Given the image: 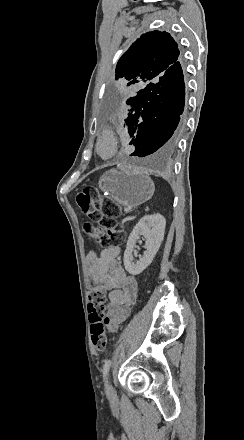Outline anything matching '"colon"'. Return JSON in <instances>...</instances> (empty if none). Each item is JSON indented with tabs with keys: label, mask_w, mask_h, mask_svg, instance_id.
<instances>
[{
	"label": "colon",
	"mask_w": 244,
	"mask_h": 440,
	"mask_svg": "<svg viewBox=\"0 0 244 440\" xmlns=\"http://www.w3.org/2000/svg\"><path fill=\"white\" fill-rule=\"evenodd\" d=\"M79 212L89 218L91 223H85L83 228L91 236L96 238L97 243L103 248L116 246L119 239L125 237V222L117 221L119 210L114 202L104 198L100 193L90 187L79 191L75 198ZM98 226V227H96ZM115 228L117 229L115 231ZM104 290H95L91 294L87 306L88 317L91 323V341L95 350L103 353L107 349V322L105 316Z\"/></svg>",
	"instance_id": "obj_1"
}]
</instances>
